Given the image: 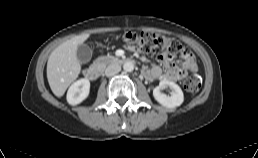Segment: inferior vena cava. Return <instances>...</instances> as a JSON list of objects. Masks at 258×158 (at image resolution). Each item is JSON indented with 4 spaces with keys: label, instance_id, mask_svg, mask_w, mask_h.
<instances>
[{
    "label": "inferior vena cava",
    "instance_id": "inferior-vena-cava-1",
    "mask_svg": "<svg viewBox=\"0 0 258 158\" xmlns=\"http://www.w3.org/2000/svg\"><path fill=\"white\" fill-rule=\"evenodd\" d=\"M121 70V67L119 64H111L105 69V75L110 77L117 73H119Z\"/></svg>",
    "mask_w": 258,
    "mask_h": 158
}]
</instances>
